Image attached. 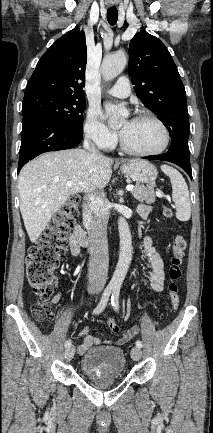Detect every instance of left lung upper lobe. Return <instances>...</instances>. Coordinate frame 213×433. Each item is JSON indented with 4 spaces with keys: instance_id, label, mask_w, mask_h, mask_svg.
Returning a JSON list of instances; mask_svg holds the SVG:
<instances>
[{
    "instance_id": "5c2ea615",
    "label": "left lung upper lobe",
    "mask_w": 213,
    "mask_h": 433,
    "mask_svg": "<svg viewBox=\"0 0 213 433\" xmlns=\"http://www.w3.org/2000/svg\"><path fill=\"white\" fill-rule=\"evenodd\" d=\"M129 69L137 96L171 134L169 150L189 153L185 88L168 49L155 36L136 33L129 43Z\"/></svg>"
}]
</instances>
